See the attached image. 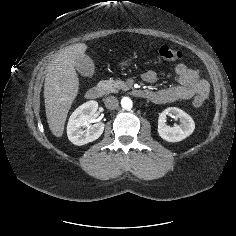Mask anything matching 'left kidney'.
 Masks as SVG:
<instances>
[{
  "label": "left kidney",
  "mask_w": 236,
  "mask_h": 236,
  "mask_svg": "<svg viewBox=\"0 0 236 236\" xmlns=\"http://www.w3.org/2000/svg\"><path fill=\"white\" fill-rule=\"evenodd\" d=\"M167 115H174L180 120V125L169 126L166 122ZM195 129L193 119L183 110L176 107H169L165 109L158 120L159 136L168 142H179L190 136Z\"/></svg>",
  "instance_id": "left-kidney-1"
}]
</instances>
